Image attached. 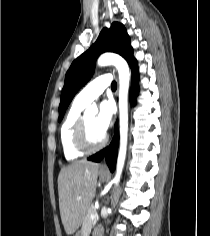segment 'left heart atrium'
Segmentation results:
<instances>
[{
  "mask_svg": "<svg viewBox=\"0 0 210 236\" xmlns=\"http://www.w3.org/2000/svg\"><path fill=\"white\" fill-rule=\"evenodd\" d=\"M113 115L112 104L109 101H103L99 106L98 114L94 119L95 127L105 134L106 130L109 128Z\"/></svg>",
  "mask_w": 210,
  "mask_h": 236,
  "instance_id": "1",
  "label": "left heart atrium"
}]
</instances>
